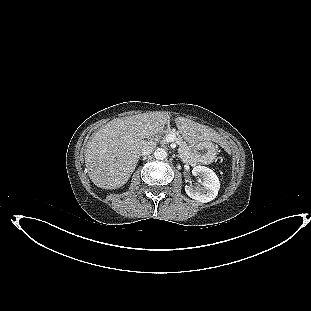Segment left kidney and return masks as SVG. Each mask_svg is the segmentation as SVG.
I'll list each match as a JSON object with an SVG mask.
<instances>
[{"label":"left kidney","instance_id":"5707ae66","mask_svg":"<svg viewBox=\"0 0 311 311\" xmlns=\"http://www.w3.org/2000/svg\"><path fill=\"white\" fill-rule=\"evenodd\" d=\"M192 173L196 176L199 175L202 180V186H185L186 194L199 202L207 203L212 201L218 195L220 189V181L216 173L208 167L196 166L193 168Z\"/></svg>","mask_w":311,"mask_h":311}]
</instances>
